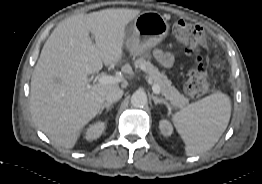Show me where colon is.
Returning <instances> with one entry per match:
<instances>
[{
  "instance_id": "1",
  "label": "colon",
  "mask_w": 262,
  "mask_h": 184,
  "mask_svg": "<svg viewBox=\"0 0 262 184\" xmlns=\"http://www.w3.org/2000/svg\"><path fill=\"white\" fill-rule=\"evenodd\" d=\"M174 36L178 43L184 46L189 54H199L205 47L206 36L203 28L197 24L178 20L173 27ZM209 81L205 60L198 55L195 64L188 72L185 83L186 92L193 98L207 93Z\"/></svg>"
}]
</instances>
